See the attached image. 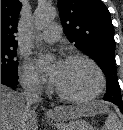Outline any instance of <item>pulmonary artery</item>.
I'll return each mask as SVG.
<instances>
[{"instance_id":"1","label":"pulmonary artery","mask_w":123,"mask_h":130,"mask_svg":"<svg viewBox=\"0 0 123 130\" xmlns=\"http://www.w3.org/2000/svg\"><path fill=\"white\" fill-rule=\"evenodd\" d=\"M61 37V28L56 25H50L47 29H45L40 38L47 43H55Z\"/></svg>"}]
</instances>
